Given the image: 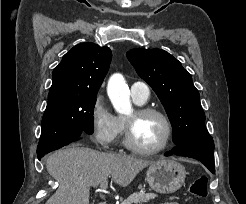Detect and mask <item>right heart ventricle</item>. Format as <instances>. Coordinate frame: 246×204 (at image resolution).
Returning a JSON list of instances; mask_svg holds the SVG:
<instances>
[{
  "instance_id": "e07e8e85",
  "label": "right heart ventricle",
  "mask_w": 246,
  "mask_h": 204,
  "mask_svg": "<svg viewBox=\"0 0 246 204\" xmlns=\"http://www.w3.org/2000/svg\"><path fill=\"white\" fill-rule=\"evenodd\" d=\"M124 127H125V118L120 116V117H118V133H117V136L123 135Z\"/></svg>"
}]
</instances>
